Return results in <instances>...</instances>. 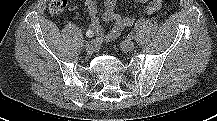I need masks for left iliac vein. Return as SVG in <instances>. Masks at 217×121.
<instances>
[{"label":"left iliac vein","mask_w":217,"mask_h":121,"mask_svg":"<svg viewBox=\"0 0 217 121\" xmlns=\"http://www.w3.org/2000/svg\"><path fill=\"white\" fill-rule=\"evenodd\" d=\"M121 49L125 52L133 51L135 48V44L131 40H125L121 43Z\"/></svg>","instance_id":"4c4485c4"}]
</instances>
